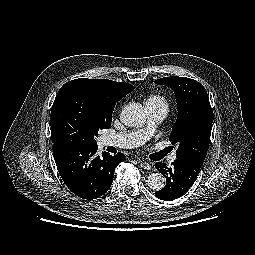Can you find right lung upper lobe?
<instances>
[{
  "label": "right lung upper lobe",
  "instance_id": "right-lung-upper-lobe-1",
  "mask_svg": "<svg viewBox=\"0 0 255 255\" xmlns=\"http://www.w3.org/2000/svg\"><path fill=\"white\" fill-rule=\"evenodd\" d=\"M72 87H80L90 92L105 111H113L117 101L130 93L135 87L125 82L107 79L80 78L65 83L58 93Z\"/></svg>",
  "mask_w": 255,
  "mask_h": 255
}]
</instances>
